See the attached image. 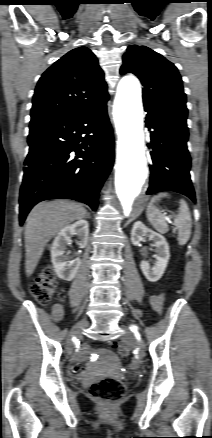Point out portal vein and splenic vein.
Returning <instances> with one entry per match:
<instances>
[{
    "mask_svg": "<svg viewBox=\"0 0 212 438\" xmlns=\"http://www.w3.org/2000/svg\"><path fill=\"white\" fill-rule=\"evenodd\" d=\"M168 222H169V223H172V221H171L170 219H168Z\"/></svg>",
    "mask_w": 212,
    "mask_h": 438,
    "instance_id": "portal-vein-and-splenic-vein-1",
    "label": "portal vein and splenic vein"
}]
</instances>
